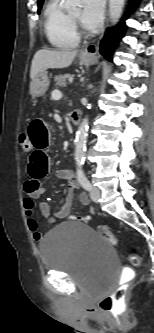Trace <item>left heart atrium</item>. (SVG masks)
I'll list each match as a JSON object with an SVG mask.
<instances>
[{
  "label": "left heart atrium",
  "instance_id": "obj_1",
  "mask_svg": "<svg viewBox=\"0 0 154 333\" xmlns=\"http://www.w3.org/2000/svg\"><path fill=\"white\" fill-rule=\"evenodd\" d=\"M105 0H83L81 22L87 29L97 28L104 14Z\"/></svg>",
  "mask_w": 154,
  "mask_h": 333
}]
</instances>
